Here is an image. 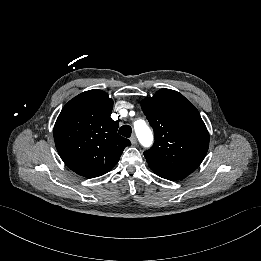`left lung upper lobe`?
I'll list each match as a JSON object with an SVG mask.
<instances>
[{"instance_id": "5c2ea615", "label": "left lung upper lobe", "mask_w": 261, "mask_h": 261, "mask_svg": "<svg viewBox=\"0 0 261 261\" xmlns=\"http://www.w3.org/2000/svg\"><path fill=\"white\" fill-rule=\"evenodd\" d=\"M155 133L154 145L144 152L149 167L181 176L203 161L209 134L197 109L180 93L161 89L141 102Z\"/></svg>"}]
</instances>
